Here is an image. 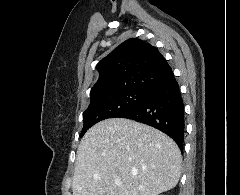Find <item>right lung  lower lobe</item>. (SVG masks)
<instances>
[{"mask_svg": "<svg viewBox=\"0 0 240 195\" xmlns=\"http://www.w3.org/2000/svg\"><path fill=\"white\" fill-rule=\"evenodd\" d=\"M119 118L150 125L170 136L183 152L185 118L184 103L174 75L151 87L143 101Z\"/></svg>", "mask_w": 240, "mask_h": 195, "instance_id": "1", "label": "right lung lower lobe"}]
</instances>
